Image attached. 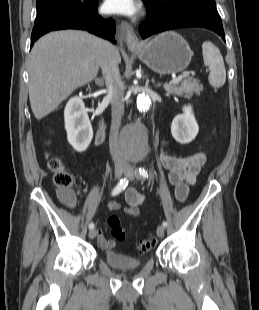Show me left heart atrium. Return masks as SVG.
<instances>
[{
  "mask_svg": "<svg viewBox=\"0 0 259 310\" xmlns=\"http://www.w3.org/2000/svg\"><path fill=\"white\" fill-rule=\"evenodd\" d=\"M104 8L113 14L133 15L138 10L135 0H106Z\"/></svg>",
  "mask_w": 259,
  "mask_h": 310,
  "instance_id": "left-heart-atrium-1",
  "label": "left heart atrium"
}]
</instances>
